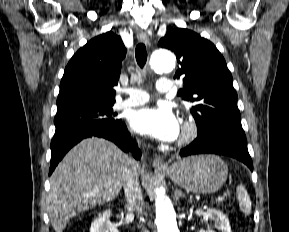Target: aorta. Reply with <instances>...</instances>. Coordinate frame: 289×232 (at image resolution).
Returning a JSON list of instances; mask_svg holds the SVG:
<instances>
[{"label": "aorta", "mask_w": 289, "mask_h": 232, "mask_svg": "<svg viewBox=\"0 0 289 232\" xmlns=\"http://www.w3.org/2000/svg\"><path fill=\"white\" fill-rule=\"evenodd\" d=\"M176 65L175 56L169 51L155 50L150 58L151 68L158 73H169ZM156 219L155 223L158 232H179L176 213L171 200L165 195L162 189H156Z\"/></svg>", "instance_id": "obj_1"}]
</instances>
